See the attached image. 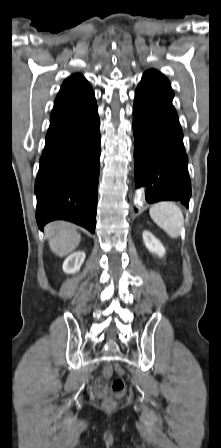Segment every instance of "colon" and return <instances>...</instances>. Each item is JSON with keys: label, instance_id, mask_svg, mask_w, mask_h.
Returning <instances> with one entry per match:
<instances>
[{"label": "colon", "instance_id": "1", "mask_svg": "<svg viewBox=\"0 0 221 448\" xmlns=\"http://www.w3.org/2000/svg\"><path fill=\"white\" fill-rule=\"evenodd\" d=\"M114 370H116L120 375L123 374L122 369L118 365L113 367L110 364H106L103 368V376L105 378L111 377L114 373ZM111 389L114 393L123 392L125 389V383H124L123 379L121 377H117V378L113 379V381L111 383ZM115 406H116V401L112 397L106 398L103 402V407L106 410H112L115 408Z\"/></svg>", "mask_w": 221, "mask_h": 448}]
</instances>
